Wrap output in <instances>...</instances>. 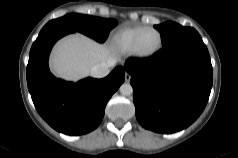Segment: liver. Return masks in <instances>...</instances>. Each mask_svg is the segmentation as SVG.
Returning a JSON list of instances; mask_svg holds the SVG:
<instances>
[{
	"label": "liver",
	"mask_w": 238,
	"mask_h": 158,
	"mask_svg": "<svg viewBox=\"0 0 238 158\" xmlns=\"http://www.w3.org/2000/svg\"><path fill=\"white\" fill-rule=\"evenodd\" d=\"M110 60L116 61L113 52L105 44L82 34H74L56 44L51 68L57 76L77 81L89 75L93 66Z\"/></svg>",
	"instance_id": "6515ba94"
}]
</instances>
